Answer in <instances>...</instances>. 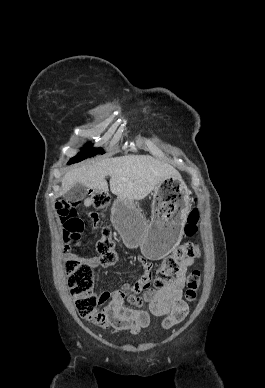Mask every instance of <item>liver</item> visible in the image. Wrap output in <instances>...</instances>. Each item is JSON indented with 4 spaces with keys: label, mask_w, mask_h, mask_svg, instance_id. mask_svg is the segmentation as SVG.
Wrapping results in <instances>:
<instances>
[{
    "label": "liver",
    "mask_w": 265,
    "mask_h": 388,
    "mask_svg": "<svg viewBox=\"0 0 265 388\" xmlns=\"http://www.w3.org/2000/svg\"><path fill=\"white\" fill-rule=\"evenodd\" d=\"M106 176H110L112 194L123 200H144L163 180L181 178L173 166L155 160L152 156H120V158L108 156L93 162H84L81 166L69 170L61 180L60 196L67 194L75 184H83L91 190L108 192Z\"/></svg>",
    "instance_id": "obj_1"
}]
</instances>
